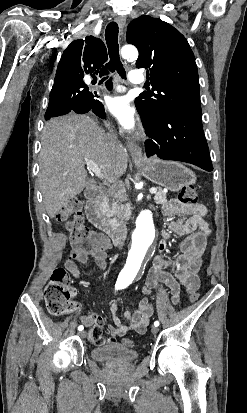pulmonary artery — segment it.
I'll return each instance as SVG.
<instances>
[{"instance_id": "1", "label": "pulmonary artery", "mask_w": 247, "mask_h": 413, "mask_svg": "<svg viewBox=\"0 0 247 413\" xmlns=\"http://www.w3.org/2000/svg\"><path fill=\"white\" fill-rule=\"evenodd\" d=\"M129 73H130V79H131L132 81H134L133 83H134V85L137 86V87L140 86L141 83L146 80V76H145L144 74L141 75L142 72H141V70L138 69V68H133V69H131ZM140 75H141V76H140ZM91 81H92V79H91L90 75H86V76L84 77V82H85V84H86L89 88L92 87Z\"/></svg>"}]
</instances>
